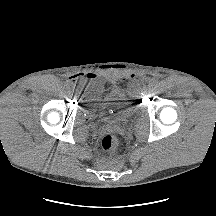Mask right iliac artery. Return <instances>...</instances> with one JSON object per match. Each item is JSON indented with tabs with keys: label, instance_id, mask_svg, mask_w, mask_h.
Returning a JSON list of instances; mask_svg holds the SVG:
<instances>
[{
	"label": "right iliac artery",
	"instance_id": "obj_1",
	"mask_svg": "<svg viewBox=\"0 0 216 216\" xmlns=\"http://www.w3.org/2000/svg\"><path fill=\"white\" fill-rule=\"evenodd\" d=\"M67 91H72V86H67Z\"/></svg>",
	"mask_w": 216,
	"mask_h": 216
}]
</instances>
